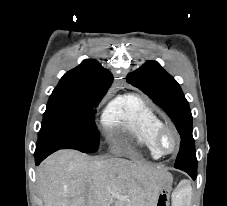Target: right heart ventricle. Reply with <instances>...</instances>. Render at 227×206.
<instances>
[{
    "label": "right heart ventricle",
    "mask_w": 227,
    "mask_h": 206,
    "mask_svg": "<svg viewBox=\"0 0 227 206\" xmlns=\"http://www.w3.org/2000/svg\"><path fill=\"white\" fill-rule=\"evenodd\" d=\"M107 129L120 128L151 158L158 159L153 137L163 122L155 109L137 94H125L112 100L102 115Z\"/></svg>",
    "instance_id": "1"
}]
</instances>
